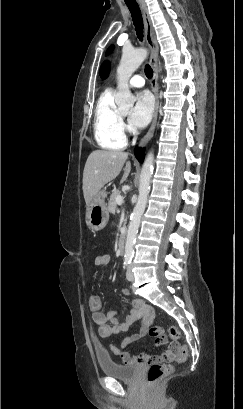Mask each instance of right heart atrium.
I'll use <instances>...</instances> for the list:
<instances>
[{
  "mask_svg": "<svg viewBox=\"0 0 243 409\" xmlns=\"http://www.w3.org/2000/svg\"><path fill=\"white\" fill-rule=\"evenodd\" d=\"M120 127H121L122 131L126 130V126L122 121H120Z\"/></svg>",
  "mask_w": 243,
  "mask_h": 409,
  "instance_id": "obj_1",
  "label": "right heart atrium"
}]
</instances>
